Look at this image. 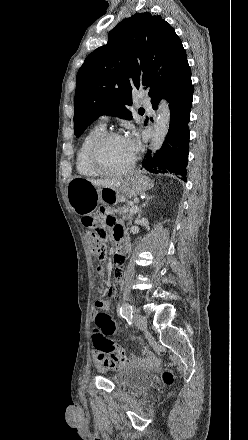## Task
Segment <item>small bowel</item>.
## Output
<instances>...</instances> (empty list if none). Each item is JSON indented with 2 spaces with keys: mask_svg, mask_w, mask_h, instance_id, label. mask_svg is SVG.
<instances>
[{
  "mask_svg": "<svg viewBox=\"0 0 248 440\" xmlns=\"http://www.w3.org/2000/svg\"><path fill=\"white\" fill-rule=\"evenodd\" d=\"M103 223L105 225V227L112 233L114 239L118 242H124V231H123V227L122 224L119 222V220L112 214V213H107L104 216L103 219ZM114 264L116 265L115 268V277L116 280L119 281L121 276H122V266L125 264V259L123 257H116L114 259ZM98 268L101 271L106 270L107 268V262L104 259L99 260L98 262ZM107 287H109V291L107 293V298L106 299H100L98 301L95 302L94 304V311H103V310H108L113 302V299L115 297L116 292L121 293L124 290L123 285L118 284L116 285L115 289L112 288L115 285L114 280L109 279L106 282ZM116 290V291H115ZM152 360V357L150 355H147L146 358H139L137 356H132L129 361L127 360V362H129L130 364L136 365V364H141V363H146ZM95 364L97 369L99 370H104L106 367V364L101 361L98 356H97V352H96V356H95Z\"/></svg>",
  "mask_w": 248,
  "mask_h": 440,
  "instance_id": "small-bowel-1",
  "label": "small bowel"
}]
</instances>
